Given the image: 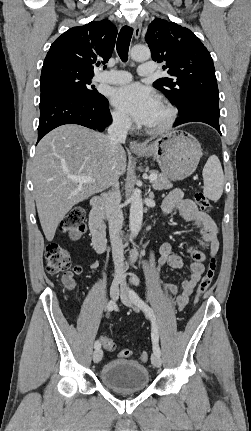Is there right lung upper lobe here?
I'll return each instance as SVG.
<instances>
[{"mask_svg":"<svg viewBox=\"0 0 251 431\" xmlns=\"http://www.w3.org/2000/svg\"><path fill=\"white\" fill-rule=\"evenodd\" d=\"M116 36L115 25L106 19L73 27L51 45L43 68L64 62L94 74V66L104 64L111 57Z\"/></svg>","mask_w":251,"mask_h":431,"instance_id":"right-lung-upper-lobe-1","label":"right lung upper lobe"}]
</instances>
